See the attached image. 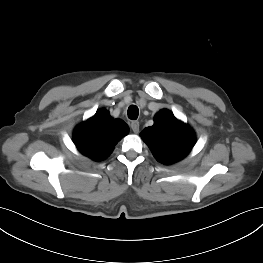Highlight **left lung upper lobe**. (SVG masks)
<instances>
[{"label": "left lung upper lobe", "instance_id": "obj_1", "mask_svg": "<svg viewBox=\"0 0 263 263\" xmlns=\"http://www.w3.org/2000/svg\"><path fill=\"white\" fill-rule=\"evenodd\" d=\"M154 157L169 165L183 159L195 144L194 131L167 109L155 115L154 125L141 132Z\"/></svg>", "mask_w": 263, "mask_h": 263}]
</instances>
